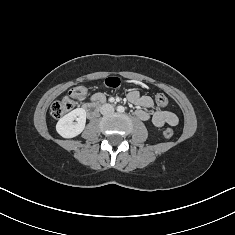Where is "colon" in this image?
Listing matches in <instances>:
<instances>
[{
  "mask_svg": "<svg viewBox=\"0 0 235 235\" xmlns=\"http://www.w3.org/2000/svg\"><path fill=\"white\" fill-rule=\"evenodd\" d=\"M106 86L112 89H118L121 87V80L117 77H110L105 81ZM87 88L84 85H78L72 88L68 95L61 100L55 101L50 108L51 115L54 118H61L76 106L77 101L83 100L86 97ZM156 104L160 108H165L168 105V98L163 94H158L155 97ZM174 135V130L171 127H167L163 131L165 138H171Z\"/></svg>",
  "mask_w": 235,
  "mask_h": 235,
  "instance_id": "1",
  "label": "colon"
}]
</instances>
